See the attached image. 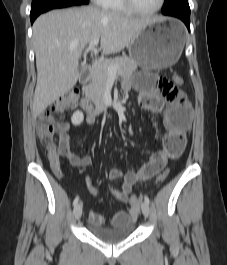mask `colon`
I'll return each mask as SVG.
<instances>
[{"label": "colon", "mask_w": 227, "mask_h": 265, "mask_svg": "<svg viewBox=\"0 0 227 265\" xmlns=\"http://www.w3.org/2000/svg\"><path fill=\"white\" fill-rule=\"evenodd\" d=\"M183 78L179 75L172 77V84L174 86H181L183 84ZM79 92L74 90L69 92L60 98H58L50 107L44 110L37 118V133L39 140L44 144L48 150L53 149L55 143L53 141L55 131V115L62 112L66 108L72 106L78 99ZM169 175V170L163 171L157 177V184H163ZM140 198L136 195L130 197V204L134 210H137L139 206Z\"/></svg>", "instance_id": "1"}]
</instances>
